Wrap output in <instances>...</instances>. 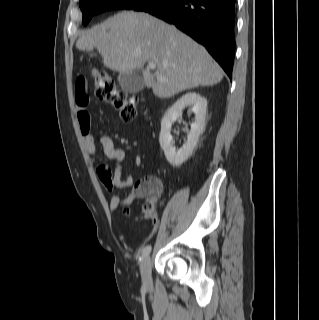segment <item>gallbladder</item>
Masks as SVG:
<instances>
[{
  "label": "gallbladder",
  "instance_id": "gallbladder-1",
  "mask_svg": "<svg viewBox=\"0 0 319 320\" xmlns=\"http://www.w3.org/2000/svg\"><path fill=\"white\" fill-rule=\"evenodd\" d=\"M118 82L121 88L127 93L140 92L144 87L142 77L136 72L121 73L118 76Z\"/></svg>",
  "mask_w": 319,
  "mask_h": 320
}]
</instances>
